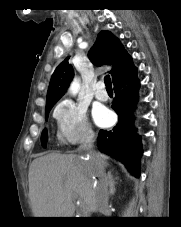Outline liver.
Instances as JSON below:
<instances>
[{
  "label": "liver",
  "instance_id": "liver-1",
  "mask_svg": "<svg viewBox=\"0 0 181 227\" xmlns=\"http://www.w3.org/2000/svg\"><path fill=\"white\" fill-rule=\"evenodd\" d=\"M87 155L51 153L33 160L29 168V198L35 217H72L79 198L87 210H97L98 170L108 165L97 152Z\"/></svg>",
  "mask_w": 181,
  "mask_h": 227
}]
</instances>
